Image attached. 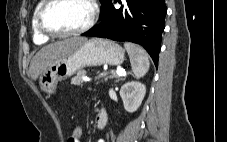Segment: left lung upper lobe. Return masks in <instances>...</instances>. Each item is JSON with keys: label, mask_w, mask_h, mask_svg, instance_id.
<instances>
[{"label": "left lung upper lobe", "mask_w": 227, "mask_h": 142, "mask_svg": "<svg viewBox=\"0 0 227 142\" xmlns=\"http://www.w3.org/2000/svg\"><path fill=\"white\" fill-rule=\"evenodd\" d=\"M111 0H100V2L102 3V5H103V9L106 7V5L110 2ZM102 9V10H103ZM102 10H101V12H102ZM101 12H100V14H101Z\"/></svg>", "instance_id": "1"}]
</instances>
